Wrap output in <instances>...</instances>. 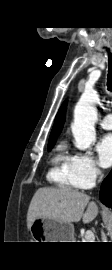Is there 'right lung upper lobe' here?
<instances>
[{
	"instance_id": "1",
	"label": "right lung upper lobe",
	"mask_w": 112,
	"mask_h": 270,
	"mask_svg": "<svg viewBox=\"0 0 112 270\" xmlns=\"http://www.w3.org/2000/svg\"><path fill=\"white\" fill-rule=\"evenodd\" d=\"M66 105H67V101H65L62 104V106L60 107V109L56 115L55 123H54L53 129H52L51 134H50L49 142H55L57 137L59 136L62 128H63V124L65 121Z\"/></svg>"
}]
</instances>
